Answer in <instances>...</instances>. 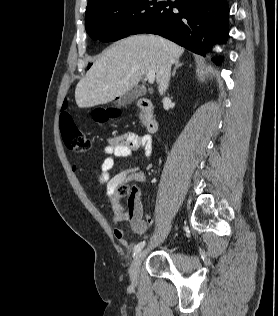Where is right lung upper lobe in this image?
<instances>
[{
  "label": "right lung upper lobe",
  "mask_w": 278,
  "mask_h": 316,
  "mask_svg": "<svg viewBox=\"0 0 278 316\" xmlns=\"http://www.w3.org/2000/svg\"><path fill=\"white\" fill-rule=\"evenodd\" d=\"M107 1H110V0H88V5H87V8H86V11L92 9L95 6L103 4V3L107 2Z\"/></svg>",
  "instance_id": "cb5924a9"
}]
</instances>
